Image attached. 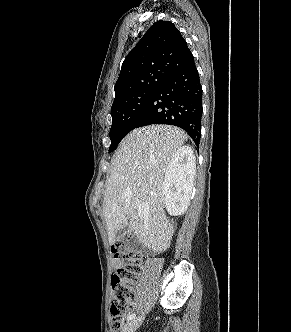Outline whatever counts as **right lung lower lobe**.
I'll use <instances>...</instances> for the list:
<instances>
[{"label":"right lung lower lobe","instance_id":"right-lung-lower-lobe-1","mask_svg":"<svg viewBox=\"0 0 291 332\" xmlns=\"http://www.w3.org/2000/svg\"><path fill=\"white\" fill-rule=\"evenodd\" d=\"M202 88L194 61L166 76L136 116L132 129L168 124L184 129L196 145L200 141Z\"/></svg>","mask_w":291,"mask_h":332}]
</instances>
